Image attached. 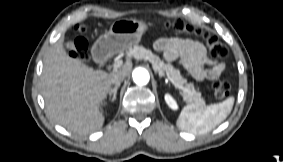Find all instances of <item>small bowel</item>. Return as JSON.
Here are the masks:
<instances>
[{
	"mask_svg": "<svg viewBox=\"0 0 283 162\" xmlns=\"http://www.w3.org/2000/svg\"><path fill=\"white\" fill-rule=\"evenodd\" d=\"M154 47L163 53L167 61H177L198 81L216 79L225 69L224 63L211 59L205 47L196 41L160 38Z\"/></svg>",
	"mask_w": 283,
	"mask_h": 162,
	"instance_id": "small-bowel-1",
	"label": "small bowel"
}]
</instances>
